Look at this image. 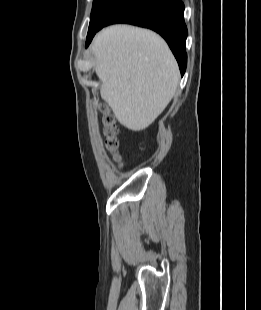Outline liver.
<instances>
[{
	"label": "liver",
	"mask_w": 261,
	"mask_h": 310,
	"mask_svg": "<svg viewBox=\"0 0 261 310\" xmlns=\"http://www.w3.org/2000/svg\"><path fill=\"white\" fill-rule=\"evenodd\" d=\"M94 70L101 96L121 125L132 131L149 127L178 87V64L156 33L129 25L104 28L94 38Z\"/></svg>",
	"instance_id": "6515ba94"
}]
</instances>
